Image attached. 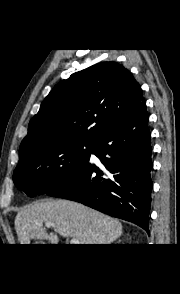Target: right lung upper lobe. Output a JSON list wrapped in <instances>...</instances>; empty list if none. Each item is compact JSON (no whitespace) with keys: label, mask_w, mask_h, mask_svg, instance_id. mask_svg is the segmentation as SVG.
<instances>
[{"label":"right lung upper lobe","mask_w":180,"mask_h":294,"mask_svg":"<svg viewBox=\"0 0 180 294\" xmlns=\"http://www.w3.org/2000/svg\"><path fill=\"white\" fill-rule=\"evenodd\" d=\"M143 101L138 82L116 62H101L72 74L50 91L31 119L19 162L46 147L93 142Z\"/></svg>","instance_id":"obj_1"}]
</instances>
